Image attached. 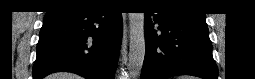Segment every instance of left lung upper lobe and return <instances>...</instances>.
<instances>
[{
    "label": "left lung upper lobe",
    "mask_w": 255,
    "mask_h": 79,
    "mask_svg": "<svg viewBox=\"0 0 255 79\" xmlns=\"http://www.w3.org/2000/svg\"><path fill=\"white\" fill-rule=\"evenodd\" d=\"M164 6L167 7H172V8H180L179 5H177V3H179L178 1L175 0H164V1H160ZM203 16H205L204 14H201Z\"/></svg>",
    "instance_id": "obj_1"
}]
</instances>
